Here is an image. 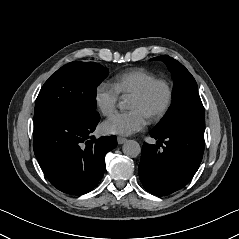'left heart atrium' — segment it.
<instances>
[{"label": "left heart atrium", "instance_id": "obj_1", "mask_svg": "<svg viewBox=\"0 0 239 239\" xmlns=\"http://www.w3.org/2000/svg\"><path fill=\"white\" fill-rule=\"evenodd\" d=\"M144 123L143 115L133 108L111 116L106 122V129L109 132L130 134L140 130Z\"/></svg>", "mask_w": 239, "mask_h": 239}]
</instances>
